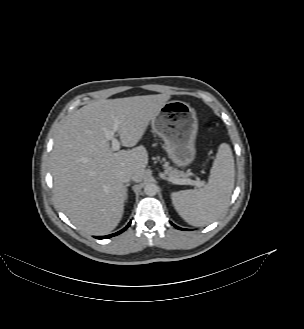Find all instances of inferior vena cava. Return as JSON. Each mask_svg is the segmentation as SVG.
<instances>
[{
	"label": "inferior vena cava",
	"instance_id": "obj_1",
	"mask_svg": "<svg viewBox=\"0 0 304 329\" xmlns=\"http://www.w3.org/2000/svg\"><path fill=\"white\" fill-rule=\"evenodd\" d=\"M119 179L122 183L129 182L130 180H132V173L126 170L121 171L119 173Z\"/></svg>",
	"mask_w": 304,
	"mask_h": 329
}]
</instances>
